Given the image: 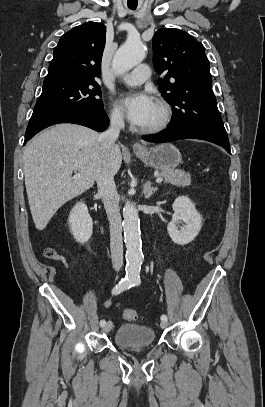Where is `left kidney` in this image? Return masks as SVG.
Here are the masks:
<instances>
[{
	"mask_svg": "<svg viewBox=\"0 0 265 407\" xmlns=\"http://www.w3.org/2000/svg\"><path fill=\"white\" fill-rule=\"evenodd\" d=\"M172 221L167 231L172 241L178 245L192 242L198 235L202 226V218L193 202L186 196H179L173 203ZM184 222L178 229L179 223Z\"/></svg>",
	"mask_w": 265,
	"mask_h": 407,
	"instance_id": "1",
	"label": "left kidney"
}]
</instances>
